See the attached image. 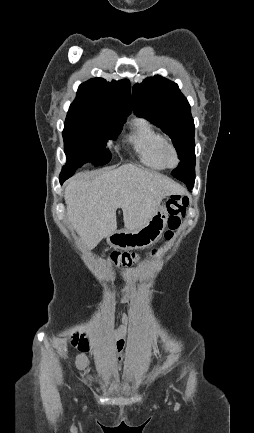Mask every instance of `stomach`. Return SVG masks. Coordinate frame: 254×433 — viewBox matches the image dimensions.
Segmentation results:
<instances>
[{"label": "stomach", "instance_id": "obj_1", "mask_svg": "<svg viewBox=\"0 0 254 433\" xmlns=\"http://www.w3.org/2000/svg\"><path fill=\"white\" fill-rule=\"evenodd\" d=\"M168 219L165 206H160L149 221L136 230H119L107 237V242L117 249H141L155 243L162 235Z\"/></svg>", "mask_w": 254, "mask_h": 433}]
</instances>
